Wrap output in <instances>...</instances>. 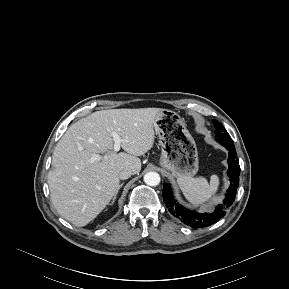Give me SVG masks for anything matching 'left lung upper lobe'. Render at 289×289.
Segmentation results:
<instances>
[{
  "instance_id": "1",
  "label": "left lung upper lobe",
  "mask_w": 289,
  "mask_h": 289,
  "mask_svg": "<svg viewBox=\"0 0 289 289\" xmlns=\"http://www.w3.org/2000/svg\"><path fill=\"white\" fill-rule=\"evenodd\" d=\"M212 122L215 126L216 140L221 144L231 142L232 139L223 125L216 120H212Z\"/></svg>"
}]
</instances>
